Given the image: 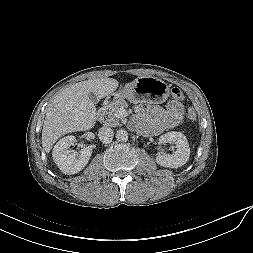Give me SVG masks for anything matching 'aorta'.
I'll return each instance as SVG.
<instances>
[{
  "instance_id": "obj_1",
  "label": "aorta",
  "mask_w": 253,
  "mask_h": 253,
  "mask_svg": "<svg viewBox=\"0 0 253 253\" xmlns=\"http://www.w3.org/2000/svg\"><path fill=\"white\" fill-rule=\"evenodd\" d=\"M116 139L120 142L128 140V132L124 129H120L116 132Z\"/></svg>"
}]
</instances>
